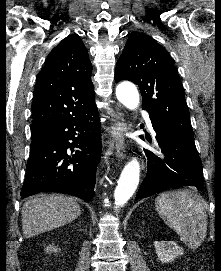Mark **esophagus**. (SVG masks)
Here are the masks:
<instances>
[{"instance_id": "obj_1", "label": "esophagus", "mask_w": 221, "mask_h": 271, "mask_svg": "<svg viewBox=\"0 0 221 271\" xmlns=\"http://www.w3.org/2000/svg\"><path fill=\"white\" fill-rule=\"evenodd\" d=\"M116 117L119 121L111 126L110 138L114 142V152L116 157L122 160L125 140L124 133L126 132L127 127L119 112H116Z\"/></svg>"}]
</instances>
